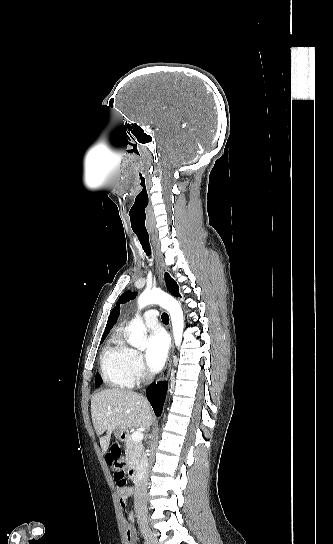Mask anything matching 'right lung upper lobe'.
Returning a JSON list of instances; mask_svg holds the SVG:
<instances>
[{
  "label": "right lung upper lobe",
  "mask_w": 333,
  "mask_h": 544,
  "mask_svg": "<svg viewBox=\"0 0 333 544\" xmlns=\"http://www.w3.org/2000/svg\"><path fill=\"white\" fill-rule=\"evenodd\" d=\"M119 312H120V309H119V306H115L114 309L111 311L110 313V316L108 318V321H107V325H106V328H105V331H104V334L102 336L103 337H106L107 334L109 333L110 329L112 328V326L114 325V323L116 322L118 316H119Z\"/></svg>",
  "instance_id": "1"
}]
</instances>
